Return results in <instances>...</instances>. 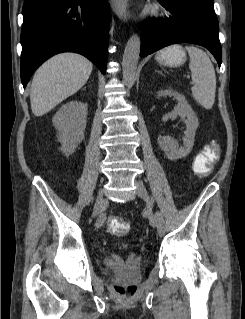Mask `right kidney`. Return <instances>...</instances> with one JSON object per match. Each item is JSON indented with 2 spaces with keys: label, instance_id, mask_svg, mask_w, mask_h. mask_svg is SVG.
Listing matches in <instances>:
<instances>
[{
  "label": "right kidney",
  "instance_id": "ca27d5eb",
  "mask_svg": "<svg viewBox=\"0 0 245 319\" xmlns=\"http://www.w3.org/2000/svg\"><path fill=\"white\" fill-rule=\"evenodd\" d=\"M88 107L86 103L73 100L63 105L53 117V125L58 131L61 151L72 154L84 139Z\"/></svg>",
  "mask_w": 245,
  "mask_h": 319
}]
</instances>
